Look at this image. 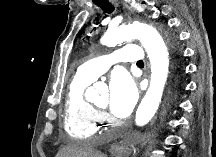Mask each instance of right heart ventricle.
Masks as SVG:
<instances>
[{
	"mask_svg": "<svg viewBox=\"0 0 216 157\" xmlns=\"http://www.w3.org/2000/svg\"><path fill=\"white\" fill-rule=\"evenodd\" d=\"M91 80L74 75L68 85L64 101L63 126L75 138H90L98 130L99 112L85 97Z\"/></svg>",
	"mask_w": 216,
	"mask_h": 157,
	"instance_id": "right-heart-ventricle-1",
	"label": "right heart ventricle"
}]
</instances>
